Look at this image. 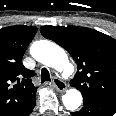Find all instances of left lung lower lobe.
Here are the masks:
<instances>
[{
  "instance_id": "1",
  "label": "left lung lower lobe",
  "mask_w": 116,
  "mask_h": 116,
  "mask_svg": "<svg viewBox=\"0 0 116 116\" xmlns=\"http://www.w3.org/2000/svg\"><path fill=\"white\" fill-rule=\"evenodd\" d=\"M83 100V108L72 112V116H113L116 113V100L99 97H83Z\"/></svg>"
}]
</instances>
